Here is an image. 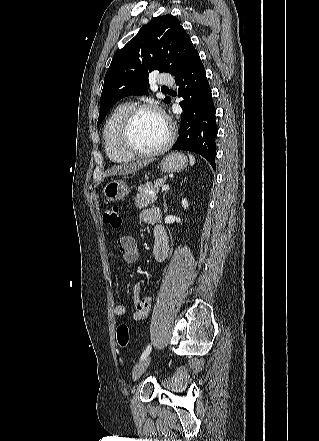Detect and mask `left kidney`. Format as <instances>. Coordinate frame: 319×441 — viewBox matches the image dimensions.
I'll use <instances>...</instances> for the list:
<instances>
[{"label": "left kidney", "instance_id": "left-kidney-1", "mask_svg": "<svg viewBox=\"0 0 319 441\" xmlns=\"http://www.w3.org/2000/svg\"><path fill=\"white\" fill-rule=\"evenodd\" d=\"M182 205H183L184 209L188 208V205H189L188 201L186 199H183L182 200Z\"/></svg>", "mask_w": 319, "mask_h": 441}]
</instances>
